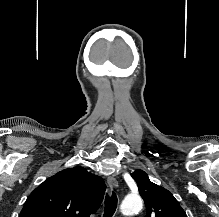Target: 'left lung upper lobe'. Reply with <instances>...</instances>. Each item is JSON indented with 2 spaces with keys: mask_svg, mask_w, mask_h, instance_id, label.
Instances as JSON below:
<instances>
[{
  "mask_svg": "<svg viewBox=\"0 0 219 217\" xmlns=\"http://www.w3.org/2000/svg\"><path fill=\"white\" fill-rule=\"evenodd\" d=\"M146 205V217H187L174 196L165 188L152 183L142 170L131 173Z\"/></svg>",
  "mask_w": 219,
  "mask_h": 217,
  "instance_id": "left-lung-upper-lobe-1",
  "label": "left lung upper lobe"
}]
</instances>
